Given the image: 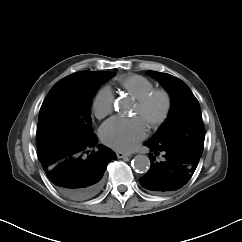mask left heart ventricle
Wrapping results in <instances>:
<instances>
[{
    "label": "left heart ventricle",
    "instance_id": "b2bd125f",
    "mask_svg": "<svg viewBox=\"0 0 242 242\" xmlns=\"http://www.w3.org/2000/svg\"><path fill=\"white\" fill-rule=\"evenodd\" d=\"M165 109V101L163 97L154 98L146 106L140 107L134 103L132 111L134 115L145 125L148 126L153 120L159 118Z\"/></svg>",
    "mask_w": 242,
    "mask_h": 242
}]
</instances>
